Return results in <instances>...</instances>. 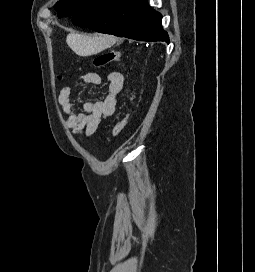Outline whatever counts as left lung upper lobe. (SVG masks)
Listing matches in <instances>:
<instances>
[{
  "mask_svg": "<svg viewBox=\"0 0 255 272\" xmlns=\"http://www.w3.org/2000/svg\"><path fill=\"white\" fill-rule=\"evenodd\" d=\"M90 0H60L55 5L58 17L73 15L80 8L86 5Z\"/></svg>",
  "mask_w": 255,
  "mask_h": 272,
  "instance_id": "obj_1",
  "label": "left lung upper lobe"
}]
</instances>
